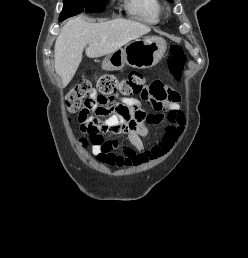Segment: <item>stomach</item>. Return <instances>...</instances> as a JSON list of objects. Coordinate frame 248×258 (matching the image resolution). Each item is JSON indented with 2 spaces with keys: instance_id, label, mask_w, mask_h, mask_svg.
<instances>
[{
  "instance_id": "1",
  "label": "stomach",
  "mask_w": 248,
  "mask_h": 258,
  "mask_svg": "<svg viewBox=\"0 0 248 258\" xmlns=\"http://www.w3.org/2000/svg\"><path fill=\"white\" fill-rule=\"evenodd\" d=\"M166 49L167 43L161 37L137 38L107 55L102 68L107 71H118L125 65L137 69L151 68L160 62Z\"/></svg>"
}]
</instances>
